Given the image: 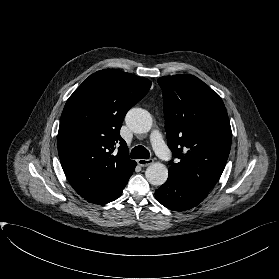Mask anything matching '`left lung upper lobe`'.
I'll list each match as a JSON object with an SVG mask.
<instances>
[{
	"label": "left lung upper lobe",
	"instance_id": "1",
	"mask_svg": "<svg viewBox=\"0 0 279 279\" xmlns=\"http://www.w3.org/2000/svg\"><path fill=\"white\" fill-rule=\"evenodd\" d=\"M168 145L177 158L169 173L210 191L228 159L232 132L221 97L193 75L158 79Z\"/></svg>",
	"mask_w": 279,
	"mask_h": 279
}]
</instances>
